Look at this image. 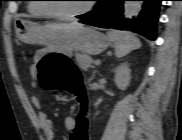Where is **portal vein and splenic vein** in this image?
Listing matches in <instances>:
<instances>
[{
    "instance_id": "obj_1",
    "label": "portal vein and splenic vein",
    "mask_w": 182,
    "mask_h": 140,
    "mask_svg": "<svg viewBox=\"0 0 182 140\" xmlns=\"http://www.w3.org/2000/svg\"><path fill=\"white\" fill-rule=\"evenodd\" d=\"M94 64H96V65L100 64V60H96V61L94 62Z\"/></svg>"
}]
</instances>
